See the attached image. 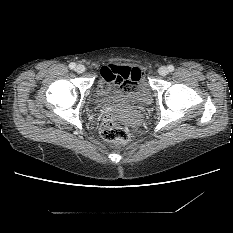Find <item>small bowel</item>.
<instances>
[{
	"label": "small bowel",
	"mask_w": 233,
	"mask_h": 233,
	"mask_svg": "<svg viewBox=\"0 0 233 233\" xmlns=\"http://www.w3.org/2000/svg\"><path fill=\"white\" fill-rule=\"evenodd\" d=\"M123 67L132 70L130 67H127V66H119V65H115V64H106L101 69V75L103 77V80H115L116 71L120 68H123Z\"/></svg>",
	"instance_id": "1"
}]
</instances>
